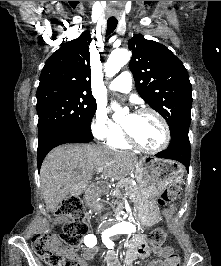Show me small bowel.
<instances>
[{
  "label": "small bowel",
  "instance_id": "1",
  "mask_svg": "<svg viewBox=\"0 0 221 266\" xmlns=\"http://www.w3.org/2000/svg\"><path fill=\"white\" fill-rule=\"evenodd\" d=\"M168 211H171V209ZM59 221H65V218L59 217ZM90 248L84 250L82 258H80L75 252L69 250L66 251L65 255L68 259L75 262V266H87L86 261L93 259L98 251L97 248ZM173 251V248L170 246L154 249V253L157 255V258L150 261L148 266H167L169 253ZM147 254L148 250L146 247L145 236L140 233L133 234L127 244L124 260L125 266H133L138 258L145 257ZM105 260L107 266H122L117 254L114 252H107Z\"/></svg>",
  "mask_w": 221,
  "mask_h": 266
}]
</instances>
